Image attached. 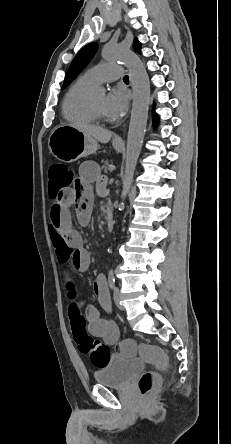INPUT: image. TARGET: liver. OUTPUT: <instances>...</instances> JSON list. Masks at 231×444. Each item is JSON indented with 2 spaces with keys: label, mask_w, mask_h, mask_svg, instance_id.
<instances>
[{
  "label": "liver",
  "mask_w": 231,
  "mask_h": 444,
  "mask_svg": "<svg viewBox=\"0 0 231 444\" xmlns=\"http://www.w3.org/2000/svg\"><path fill=\"white\" fill-rule=\"evenodd\" d=\"M70 126L77 128L78 130H80L84 134H86V135L92 137L93 139H95L96 141L104 143V144H106L110 141L112 134H113L109 130H106V129L98 127V126L88 125V124H72Z\"/></svg>",
  "instance_id": "obj_1"
}]
</instances>
